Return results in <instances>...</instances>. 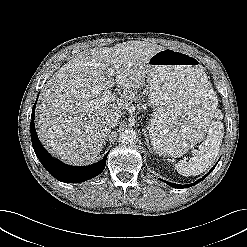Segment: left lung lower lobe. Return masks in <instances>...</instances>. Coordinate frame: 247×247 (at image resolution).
<instances>
[{
	"label": "left lung lower lobe",
	"instance_id": "left-lung-lower-lobe-1",
	"mask_svg": "<svg viewBox=\"0 0 247 247\" xmlns=\"http://www.w3.org/2000/svg\"><path fill=\"white\" fill-rule=\"evenodd\" d=\"M217 165V164H216ZM216 165L204 176L202 177L201 179L197 180L196 182L194 183H191V184H187V185H180V184H174V183H170V182H166L168 185H170L171 187H174V188H188V187H191L197 183H199L200 181H202L205 177H207L212 171L213 169L216 167Z\"/></svg>",
	"mask_w": 247,
	"mask_h": 247
}]
</instances>
